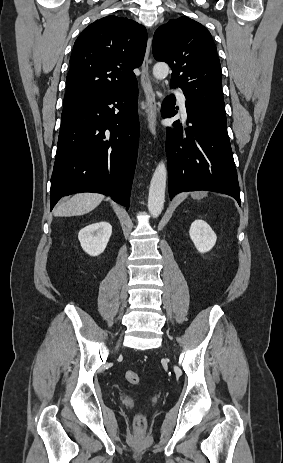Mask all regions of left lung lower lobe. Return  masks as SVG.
<instances>
[{
  "label": "left lung lower lobe",
  "instance_id": "left-lung-lower-lobe-1",
  "mask_svg": "<svg viewBox=\"0 0 283 463\" xmlns=\"http://www.w3.org/2000/svg\"><path fill=\"white\" fill-rule=\"evenodd\" d=\"M174 95L162 104L163 117L176 112ZM188 126L183 138L182 127L175 121V131L167 128L170 199L182 191L208 190L232 196L240 205V189L226 121L207 115L185 102Z\"/></svg>",
  "mask_w": 283,
  "mask_h": 463
}]
</instances>
